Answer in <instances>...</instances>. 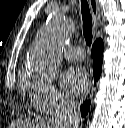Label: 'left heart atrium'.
<instances>
[{
  "label": "left heart atrium",
  "mask_w": 125,
  "mask_h": 128,
  "mask_svg": "<svg viewBox=\"0 0 125 128\" xmlns=\"http://www.w3.org/2000/svg\"><path fill=\"white\" fill-rule=\"evenodd\" d=\"M90 76L86 70L79 66L68 68L62 75L61 84L71 96L82 95L90 84Z\"/></svg>",
  "instance_id": "left-heart-atrium-1"
}]
</instances>
